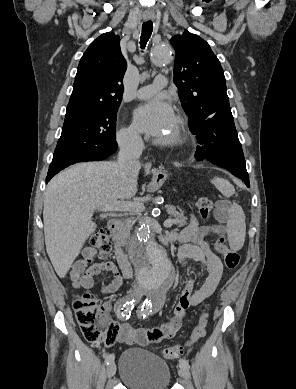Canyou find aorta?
Segmentation results:
<instances>
[{"label":"aorta","mask_w":296,"mask_h":389,"mask_svg":"<svg viewBox=\"0 0 296 389\" xmlns=\"http://www.w3.org/2000/svg\"><path fill=\"white\" fill-rule=\"evenodd\" d=\"M151 59L158 66L173 62V49L163 43L156 44L151 49ZM128 251L136 265L138 283L150 297L171 287L175 275L173 265L148 225L138 229Z\"/></svg>","instance_id":"aorta-1"}]
</instances>
